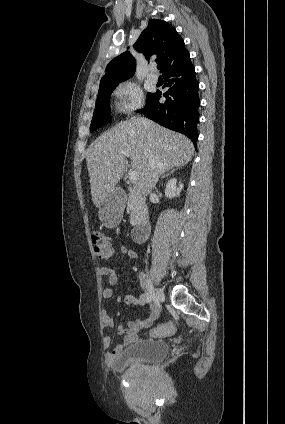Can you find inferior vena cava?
<instances>
[{
  "label": "inferior vena cava",
  "instance_id": "inferior-vena-cava-1",
  "mask_svg": "<svg viewBox=\"0 0 285 424\" xmlns=\"http://www.w3.org/2000/svg\"><path fill=\"white\" fill-rule=\"evenodd\" d=\"M149 162L152 169V187L154 188L158 181V171L156 169L158 162L152 155L150 156Z\"/></svg>",
  "mask_w": 285,
  "mask_h": 424
}]
</instances>
